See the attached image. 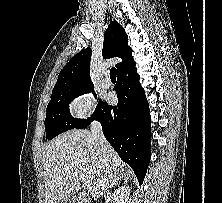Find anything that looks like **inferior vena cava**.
I'll return each mask as SVG.
<instances>
[{"mask_svg": "<svg viewBox=\"0 0 222 203\" xmlns=\"http://www.w3.org/2000/svg\"><path fill=\"white\" fill-rule=\"evenodd\" d=\"M91 133L95 140V143L99 150L102 153L103 158H106L109 154L110 145L105 139L103 132H102V126L99 122L94 121L91 124Z\"/></svg>", "mask_w": 222, "mask_h": 203, "instance_id": "obj_1", "label": "inferior vena cava"}]
</instances>
